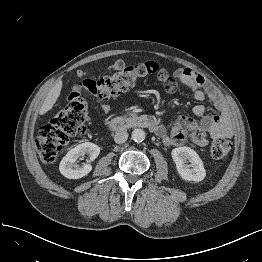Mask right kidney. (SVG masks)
I'll list each match as a JSON object with an SVG mask.
<instances>
[{
  "instance_id": "right-kidney-1",
  "label": "right kidney",
  "mask_w": 262,
  "mask_h": 262,
  "mask_svg": "<svg viewBox=\"0 0 262 262\" xmlns=\"http://www.w3.org/2000/svg\"><path fill=\"white\" fill-rule=\"evenodd\" d=\"M86 153L90 156V160L93 161L98 157L100 148L90 142H85L72 148L60 162L59 170L61 174L69 179H79L87 175L92 170L91 164L87 163L83 166L76 164L78 158Z\"/></svg>"
}]
</instances>
